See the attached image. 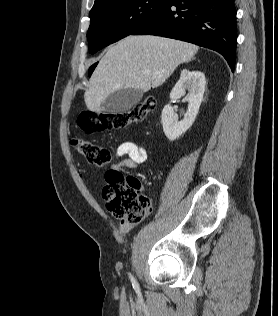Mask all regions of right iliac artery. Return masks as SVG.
Masks as SVG:
<instances>
[{"mask_svg":"<svg viewBox=\"0 0 278 316\" xmlns=\"http://www.w3.org/2000/svg\"><path fill=\"white\" fill-rule=\"evenodd\" d=\"M131 280H132V282H133V283H135V280H134V278H133V277L131 278Z\"/></svg>","mask_w":278,"mask_h":316,"instance_id":"82829eb1","label":"right iliac artery"}]
</instances>
